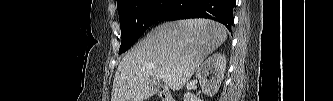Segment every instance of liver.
Masks as SVG:
<instances>
[{"mask_svg":"<svg viewBox=\"0 0 333 101\" xmlns=\"http://www.w3.org/2000/svg\"><path fill=\"white\" fill-rule=\"evenodd\" d=\"M226 38V27L208 19L157 26L120 62L111 101H145L159 91L164 75L171 76V90H180Z\"/></svg>","mask_w":333,"mask_h":101,"instance_id":"obj_1","label":"liver"}]
</instances>
